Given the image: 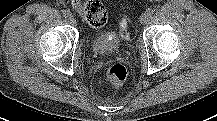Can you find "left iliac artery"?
<instances>
[{
    "label": "left iliac artery",
    "mask_w": 217,
    "mask_h": 121,
    "mask_svg": "<svg viewBox=\"0 0 217 121\" xmlns=\"http://www.w3.org/2000/svg\"><path fill=\"white\" fill-rule=\"evenodd\" d=\"M146 12L148 13L149 16H151V15L154 14L155 9H153V8H148V9L146 10Z\"/></svg>",
    "instance_id": "obj_1"
}]
</instances>
